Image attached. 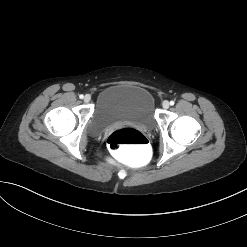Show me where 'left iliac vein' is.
<instances>
[{"label":"left iliac vein","instance_id":"1","mask_svg":"<svg viewBox=\"0 0 247 247\" xmlns=\"http://www.w3.org/2000/svg\"><path fill=\"white\" fill-rule=\"evenodd\" d=\"M169 102L168 101H163V103H162V106H163V108L164 109H168L169 108Z\"/></svg>","mask_w":247,"mask_h":247}]
</instances>
